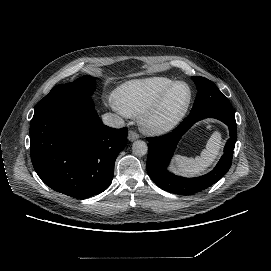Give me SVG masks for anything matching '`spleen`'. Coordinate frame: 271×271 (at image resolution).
Instances as JSON below:
<instances>
[{
    "label": "spleen",
    "mask_w": 271,
    "mask_h": 271,
    "mask_svg": "<svg viewBox=\"0 0 271 271\" xmlns=\"http://www.w3.org/2000/svg\"><path fill=\"white\" fill-rule=\"evenodd\" d=\"M219 148L220 137L215 133L209 139L206 149L202 151L201 156H196L195 158L178 156L177 161L184 170L198 172L199 170H203L206 164H209L216 157Z\"/></svg>",
    "instance_id": "3e777b00"
}]
</instances>
